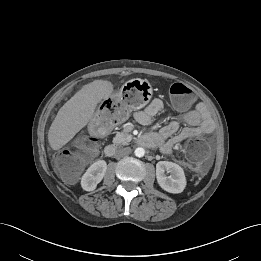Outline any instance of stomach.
Listing matches in <instances>:
<instances>
[{"mask_svg": "<svg viewBox=\"0 0 261 261\" xmlns=\"http://www.w3.org/2000/svg\"><path fill=\"white\" fill-rule=\"evenodd\" d=\"M121 106L129 114L133 110L144 107L152 97V88L148 81L139 78L127 81L120 91L115 95ZM103 120L95 115L89 123V130L92 133L100 134L103 130H110Z\"/></svg>", "mask_w": 261, "mask_h": 261, "instance_id": "0dacf381", "label": "stomach"}]
</instances>
